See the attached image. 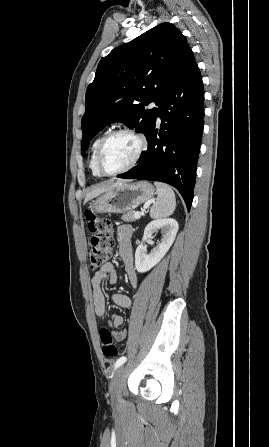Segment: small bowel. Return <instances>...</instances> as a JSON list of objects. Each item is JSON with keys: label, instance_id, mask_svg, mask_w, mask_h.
I'll use <instances>...</instances> for the list:
<instances>
[{"label": "small bowel", "instance_id": "1", "mask_svg": "<svg viewBox=\"0 0 269 447\" xmlns=\"http://www.w3.org/2000/svg\"><path fill=\"white\" fill-rule=\"evenodd\" d=\"M131 235L132 229L128 225H121L118 227L117 240L119 243V256L123 260L130 284L136 288L139 286V279L134 268L132 245L130 242ZM105 280L111 285L118 282L117 269L113 263H107L97 269L91 279L94 309L96 315L99 317H104L106 313V299L103 289ZM111 299L115 305L122 308H129L132 305L131 299L122 293H112ZM123 321L124 319L121 315L115 314L111 317V326L116 329L114 332V339L117 342H121L126 338V332L119 329L123 324Z\"/></svg>", "mask_w": 269, "mask_h": 447}]
</instances>
